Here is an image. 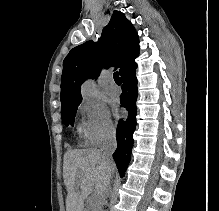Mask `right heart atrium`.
<instances>
[{
	"instance_id": "1",
	"label": "right heart atrium",
	"mask_w": 219,
	"mask_h": 211,
	"mask_svg": "<svg viewBox=\"0 0 219 211\" xmlns=\"http://www.w3.org/2000/svg\"><path fill=\"white\" fill-rule=\"evenodd\" d=\"M78 111L83 118L80 130L89 145L97 146L113 139L115 126L106 106L95 101H84Z\"/></svg>"
}]
</instances>
